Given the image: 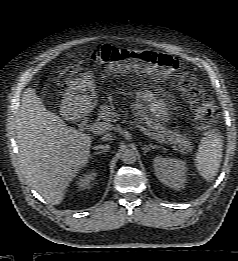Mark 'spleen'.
<instances>
[{
  "label": "spleen",
  "instance_id": "3e777b00",
  "mask_svg": "<svg viewBox=\"0 0 238 261\" xmlns=\"http://www.w3.org/2000/svg\"><path fill=\"white\" fill-rule=\"evenodd\" d=\"M223 140L218 131H210L202 138L194 159L198 173L207 181L215 178L221 163Z\"/></svg>",
  "mask_w": 238,
  "mask_h": 261
}]
</instances>
